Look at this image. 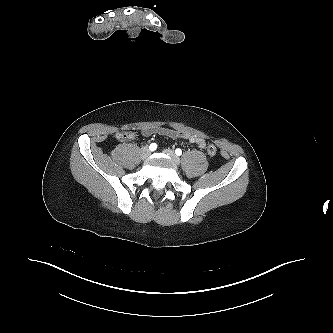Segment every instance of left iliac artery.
<instances>
[{
	"mask_svg": "<svg viewBox=\"0 0 333 333\" xmlns=\"http://www.w3.org/2000/svg\"><path fill=\"white\" fill-rule=\"evenodd\" d=\"M175 153H176L177 155H181V154H182V150L179 149V148H177V149L175 150Z\"/></svg>",
	"mask_w": 333,
	"mask_h": 333,
	"instance_id": "1",
	"label": "left iliac artery"
}]
</instances>
